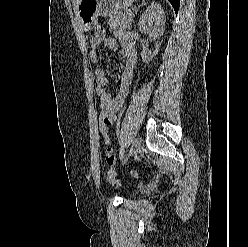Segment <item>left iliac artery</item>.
Returning a JSON list of instances; mask_svg holds the SVG:
<instances>
[{"label":"left iliac artery","instance_id":"44dca946","mask_svg":"<svg viewBox=\"0 0 248 247\" xmlns=\"http://www.w3.org/2000/svg\"><path fill=\"white\" fill-rule=\"evenodd\" d=\"M123 154H124V148L120 150V160L123 158Z\"/></svg>","mask_w":248,"mask_h":247}]
</instances>
